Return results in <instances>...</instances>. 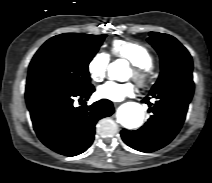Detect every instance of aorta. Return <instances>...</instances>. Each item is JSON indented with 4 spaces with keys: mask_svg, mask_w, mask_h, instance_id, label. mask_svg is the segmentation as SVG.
<instances>
[{
    "mask_svg": "<svg viewBox=\"0 0 212 183\" xmlns=\"http://www.w3.org/2000/svg\"><path fill=\"white\" fill-rule=\"evenodd\" d=\"M125 65L124 60H117L110 64L109 75L115 76V69L119 66ZM118 122L127 129H135L142 125L144 121L143 107L136 102H127L119 107L117 112Z\"/></svg>",
    "mask_w": 212,
    "mask_h": 183,
    "instance_id": "762f6f07",
    "label": "aorta"
}]
</instances>
